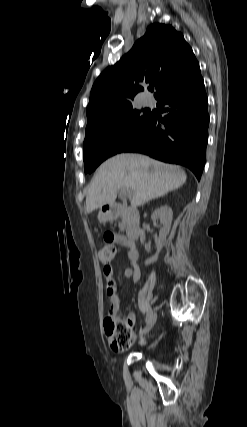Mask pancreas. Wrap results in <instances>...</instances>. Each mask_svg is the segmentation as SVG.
Returning <instances> with one entry per match:
<instances>
[{"label": "pancreas", "mask_w": 247, "mask_h": 427, "mask_svg": "<svg viewBox=\"0 0 247 427\" xmlns=\"http://www.w3.org/2000/svg\"><path fill=\"white\" fill-rule=\"evenodd\" d=\"M120 229H121L122 231L125 229V223H124V222L120 225Z\"/></svg>", "instance_id": "obj_1"}]
</instances>
